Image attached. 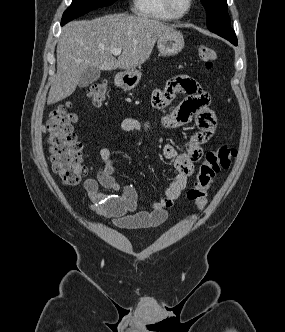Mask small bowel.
I'll list each match as a JSON object with an SVG mask.
<instances>
[{
	"label": "small bowel",
	"mask_w": 285,
	"mask_h": 332,
	"mask_svg": "<svg viewBox=\"0 0 285 332\" xmlns=\"http://www.w3.org/2000/svg\"><path fill=\"white\" fill-rule=\"evenodd\" d=\"M176 93H185L187 97L165 117V125L176 128L195 121L199 130L188 138L186 150L182 153L171 144L164 145L162 154L166 159L174 161L175 175L167 184L160 201L148 206L142 205L132 185L121 188L113 175L118 157L107 147L100 150L103 166L96 178L84 181L88 208L98 215L111 218L117 227L149 228L163 224L174 201L186 189L195 163L203 157V146L215 133L217 118L209 107L210 95L189 75L175 76L167 82L164 89L154 91L153 106L157 109L175 107L173 97ZM146 126L147 124L128 117L122 120L120 130L132 134ZM100 187L111 190L112 193L102 192Z\"/></svg>",
	"instance_id": "1"
}]
</instances>
